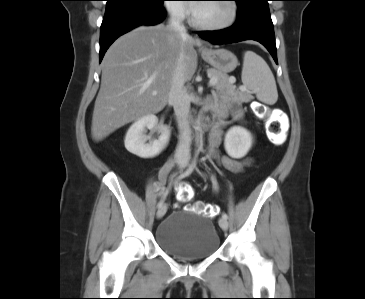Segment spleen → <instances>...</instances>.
Masks as SVG:
<instances>
[{
    "mask_svg": "<svg viewBox=\"0 0 365 299\" xmlns=\"http://www.w3.org/2000/svg\"><path fill=\"white\" fill-rule=\"evenodd\" d=\"M241 79L259 101L269 105L276 103L278 92L272 71L266 61L253 51L244 53Z\"/></svg>",
    "mask_w": 365,
    "mask_h": 299,
    "instance_id": "spleen-1",
    "label": "spleen"
}]
</instances>
